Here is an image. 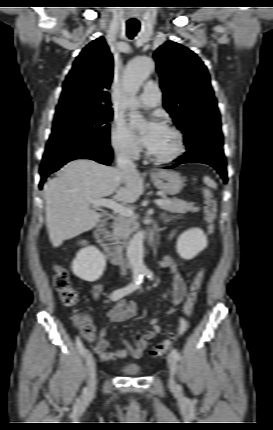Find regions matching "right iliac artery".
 <instances>
[{"mask_svg":"<svg viewBox=\"0 0 273 430\" xmlns=\"http://www.w3.org/2000/svg\"><path fill=\"white\" fill-rule=\"evenodd\" d=\"M143 276H144L143 273H135L133 282L123 288H119L113 291L110 295V299L112 301H117L120 298L135 291L141 285L143 281ZM76 347L82 355H85V353L87 352V350L85 349L83 343L80 341L79 338L76 339Z\"/></svg>","mask_w":273,"mask_h":430,"instance_id":"obj_1","label":"right iliac artery"}]
</instances>
